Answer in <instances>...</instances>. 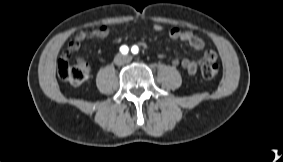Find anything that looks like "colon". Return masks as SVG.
<instances>
[{
    "label": "colon",
    "mask_w": 283,
    "mask_h": 162,
    "mask_svg": "<svg viewBox=\"0 0 283 162\" xmlns=\"http://www.w3.org/2000/svg\"><path fill=\"white\" fill-rule=\"evenodd\" d=\"M220 71V63L213 53H207L202 67L201 75L206 80L215 79ZM58 76L72 86L82 85L90 75V68L86 63L70 64L65 58L58 61Z\"/></svg>",
    "instance_id": "obj_1"
}]
</instances>
